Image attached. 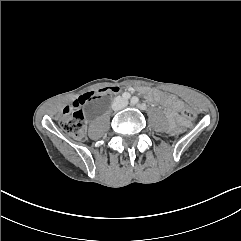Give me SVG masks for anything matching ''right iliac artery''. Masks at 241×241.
Wrapping results in <instances>:
<instances>
[{"label": "right iliac artery", "instance_id": "obj_1", "mask_svg": "<svg viewBox=\"0 0 241 241\" xmlns=\"http://www.w3.org/2000/svg\"><path fill=\"white\" fill-rule=\"evenodd\" d=\"M122 97H123L125 100H128V99H130L131 95H130V93H128V92H124V93L122 94Z\"/></svg>", "mask_w": 241, "mask_h": 241}]
</instances>
